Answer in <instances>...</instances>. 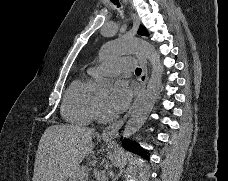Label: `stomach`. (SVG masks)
<instances>
[{
    "instance_id": "stomach-1",
    "label": "stomach",
    "mask_w": 228,
    "mask_h": 181,
    "mask_svg": "<svg viewBox=\"0 0 228 181\" xmlns=\"http://www.w3.org/2000/svg\"><path fill=\"white\" fill-rule=\"evenodd\" d=\"M103 139L104 141H106V143H110V141H112L114 137H109V135H103Z\"/></svg>"
}]
</instances>
